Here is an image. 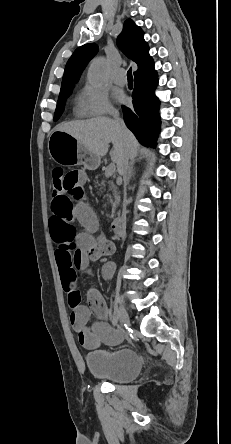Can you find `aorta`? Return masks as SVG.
Instances as JSON below:
<instances>
[{"mask_svg":"<svg viewBox=\"0 0 231 444\" xmlns=\"http://www.w3.org/2000/svg\"><path fill=\"white\" fill-rule=\"evenodd\" d=\"M105 71L106 60L104 58L94 60L88 71V82L94 87L100 86L104 81Z\"/></svg>","mask_w":231,"mask_h":444,"instance_id":"obj_1","label":"aorta"}]
</instances>
